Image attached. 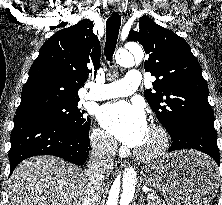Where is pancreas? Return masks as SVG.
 Instances as JSON below:
<instances>
[{
    "label": "pancreas",
    "instance_id": "1",
    "mask_svg": "<svg viewBox=\"0 0 222 205\" xmlns=\"http://www.w3.org/2000/svg\"><path fill=\"white\" fill-rule=\"evenodd\" d=\"M148 205H166L164 201L155 195H149L147 198Z\"/></svg>",
    "mask_w": 222,
    "mask_h": 205
}]
</instances>
